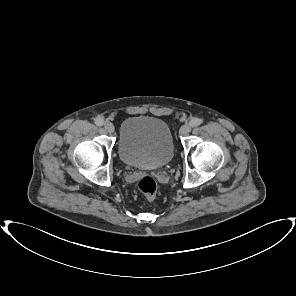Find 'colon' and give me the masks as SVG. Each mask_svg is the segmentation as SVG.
I'll return each instance as SVG.
<instances>
[{"instance_id":"1","label":"colon","mask_w":296,"mask_h":296,"mask_svg":"<svg viewBox=\"0 0 296 296\" xmlns=\"http://www.w3.org/2000/svg\"><path fill=\"white\" fill-rule=\"evenodd\" d=\"M138 189L149 200L155 199L157 184L153 178L149 176L143 177L138 183Z\"/></svg>"}]
</instances>
